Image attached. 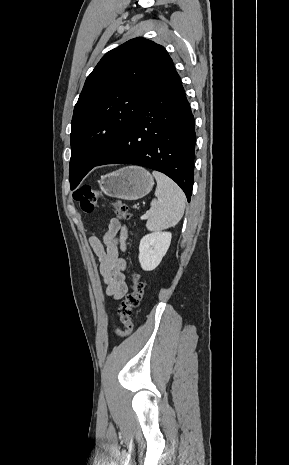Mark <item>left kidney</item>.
<instances>
[{
	"label": "left kidney",
	"instance_id": "obj_1",
	"mask_svg": "<svg viewBox=\"0 0 289 465\" xmlns=\"http://www.w3.org/2000/svg\"><path fill=\"white\" fill-rule=\"evenodd\" d=\"M171 238L170 232H154L143 236L139 245V262L143 270L152 271L160 264Z\"/></svg>",
	"mask_w": 289,
	"mask_h": 465
}]
</instances>
